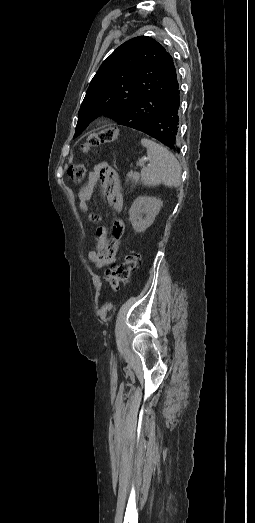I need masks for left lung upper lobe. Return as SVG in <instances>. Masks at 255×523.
Listing matches in <instances>:
<instances>
[{
    "label": "left lung upper lobe",
    "mask_w": 255,
    "mask_h": 523,
    "mask_svg": "<svg viewBox=\"0 0 255 523\" xmlns=\"http://www.w3.org/2000/svg\"><path fill=\"white\" fill-rule=\"evenodd\" d=\"M178 88L173 58L165 48L147 36L130 39L102 63L91 80L74 138L103 114L128 127L154 121L153 115H161Z\"/></svg>",
    "instance_id": "obj_1"
}]
</instances>
